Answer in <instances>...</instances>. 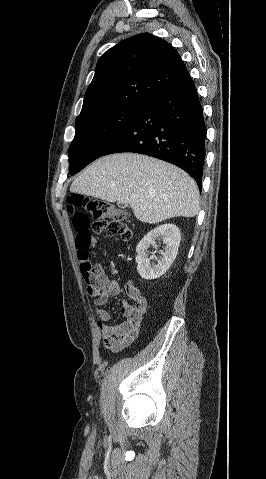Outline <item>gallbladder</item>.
Segmentation results:
<instances>
[{"instance_id": "obj_1", "label": "gallbladder", "mask_w": 266, "mask_h": 479, "mask_svg": "<svg viewBox=\"0 0 266 479\" xmlns=\"http://www.w3.org/2000/svg\"><path fill=\"white\" fill-rule=\"evenodd\" d=\"M118 206L121 207V208H125V207H127L128 205H127V204L118 203Z\"/></svg>"}]
</instances>
